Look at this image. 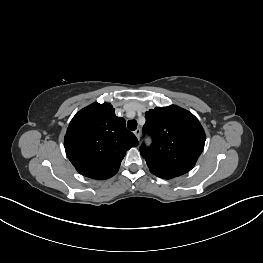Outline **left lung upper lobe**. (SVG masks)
Segmentation results:
<instances>
[{"instance_id":"5c2ea615","label":"left lung upper lobe","mask_w":263,"mask_h":263,"mask_svg":"<svg viewBox=\"0 0 263 263\" xmlns=\"http://www.w3.org/2000/svg\"><path fill=\"white\" fill-rule=\"evenodd\" d=\"M144 135L152 146L140 147L150 172L171 179L190 171L203 151L205 132L198 119L178 106L156 107L145 113Z\"/></svg>"}]
</instances>
